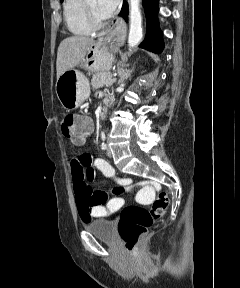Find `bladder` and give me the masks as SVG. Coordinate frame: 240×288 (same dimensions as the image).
Segmentation results:
<instances>
[{
	"instance_id": "bladder-1",
	"label": "bladder",
	"mask_w": 240,
	"mask_h": 288,
	"mask_svg": "<svg viewBox=\"0 0 240 288\" xmlns=\"http://www.w3.org/2000/svg\"><path fill=\"white\" fill-rule=\"evenodd\" d=\"M85 230L106 243H114L116 240L115 224L111 220L98 219L85 224Z\"/></svg>"
}]
</instances>
